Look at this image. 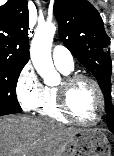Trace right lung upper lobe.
Masks as SVG:
<instances>
[{
    "instance_id": "obj_1",
    "label": "right lung upper lobe",
    "mask_w": 114,
    "mask_h": 156,
    "mask_svg": "<svg viewBox=\"0 0 114 156\" xmlns=\"http://www.w3.org/2000/svg\"><path fill=\"white\" fill-rule=\"evenodd\" d=\"M29 11L26 0L0 7V62L25 66L29 60Z\"/></svg>"
}]
</instances>
